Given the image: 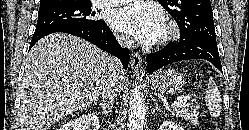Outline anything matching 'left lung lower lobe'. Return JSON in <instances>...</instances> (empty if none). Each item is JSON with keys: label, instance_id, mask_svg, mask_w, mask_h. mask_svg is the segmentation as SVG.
I'll list each match as a JSON object with an SVG mask.
<instances>
[{"label": "left lung lower lobe", "instance_id": "0a47b994", "mask_svg": "<svg viewBox=\"0 0 249 130\" xmlns=\"http://www.w3.org/2000/svg\"><path fill=\"white\" fill-rule=\"evenodd\" d=\"M189 59H205L222 72L216 40L196 36L180 39L177 43L168 44L163 49L147 55L146 74L173 62Z\"/></svg>", "mask_w": 249, "mask_h": 130}]
</instances>
